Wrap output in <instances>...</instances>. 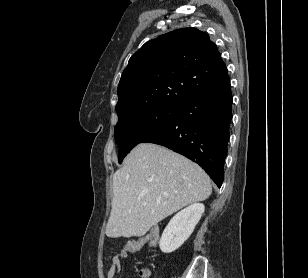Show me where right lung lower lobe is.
<instances>
[{
	"mask_svg": "<svg viewBox=\"0 0 308 278\" xmlns=\"http://www.w3.org/2000/svg\"><path fill=\"white\" fill-rule=\"evenodd\" d=\"M230 80L217 89L178 106L177 117L146 138L198 163L221 187L232 119Z\"/></svg>",
	"mask_w": 308,
	"mask_h": 278,
	"instance_id": "right-lung-lower-lobe-1",
	"label": "right lung lower lobe"
}]
</instances>
